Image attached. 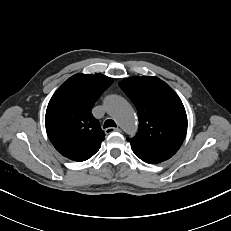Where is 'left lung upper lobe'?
<instances>
[{"mask_svg":"<svg viewBox=\"0 0 231 231\" xmlns=\"http://www.w3.org/2000/svg\"><path fill=\"white\" fill-rule=\"evenodd\" d=\"M135 104L139 116L137 135L127 140L135 154L171 158L187 133L185 108L174 90L154 76H134L119 83Z\"/></svg>","mask_w":231,"mask_h":231,"instance_id":"5c2ea615","label":"left lung upper lobe"}]
</instances>
